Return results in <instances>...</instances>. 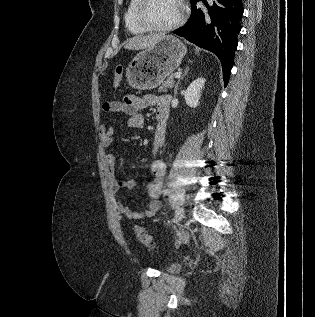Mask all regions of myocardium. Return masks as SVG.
Here are the masks:
<instances>
[{
    "label": "myocardium",
    "instance_id": "1",
    "mask_svg": "<svg viewBox=\"0 0 315 317\" xmlns=\"http://www.w3.org/2000/svg\"><path fill=\"white\" fill-rule=\"evenodd\" d=\"M149 2L150 0H139V3L137 4L136 10H135V19L137 24L143 29H145L146 31H156V32L171 31L173 29L180 27L184 23L186 18V11H185L184 5L181 3H180L181 13L175 22L169 25H164V26H158V25L149 23L144 17V11Z\"/></svg>",
    "mask_w": 315,
    "mask_h": 317
}]
</instances>
